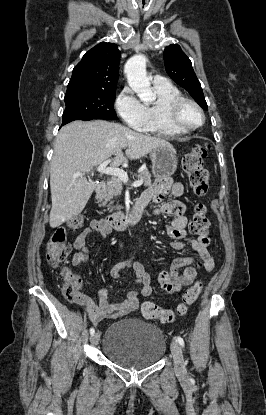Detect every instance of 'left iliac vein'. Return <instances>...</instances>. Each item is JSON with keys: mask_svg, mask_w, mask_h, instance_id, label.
Masks as SVG:
<instances>
[{"mask_svg": "<svg viewBox=\"0 0 266 415\" xmlns=\"http://www.w3.org/2000/svg\"><path fill=\"white\" fill-rule=\"evenodd\" d=\"M171 352L174 360L175 370L179 375H183L185 372V364L182 349L177 341H172Z\"/></svg>", "mask_w": 266, "mask_h": 415, "instance_id": "left-iliac-vein-1", "label": "left iliac vein"}]
</instances>
